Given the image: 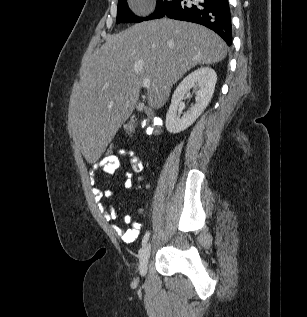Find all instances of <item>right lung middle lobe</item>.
Segmentation results:
<instances>
[{
    "label": "right lung middle lobe",
    "instance_id": "obj_1",
    "mask_svg": "<svg viewBox=\"0 0 307 317\" xmlns=\"http://www.w3.org/2000/svg\"><path fill=\"white\" fill-rule=\"evenodd\" d=\"M127 0L118 1V11H117V23L125 22H141L143 20H150L160 17L168 8H170L176 0H157L156 10L153 14L146 18L135 16L132 11H130Z\"/></svg>",
    "mask_w": 307,
    "mask_h": 317
}]
</instances>
